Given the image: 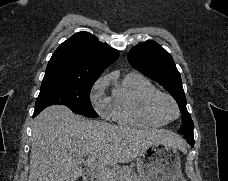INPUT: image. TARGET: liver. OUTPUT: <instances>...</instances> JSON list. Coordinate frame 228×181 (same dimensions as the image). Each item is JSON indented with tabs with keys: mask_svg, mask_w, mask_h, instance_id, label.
Here are the masks:
<instances>
[{
	"mask_svg": "<svg viewBox=\"0 0 228 181\" xmlns=\"http://www.w3.org/2000/svg\"><path fill=\"white\" fill-rule=\"evenodd\" d=\"M151 143L186 149L175 133L85 121L64 105H52L33 121L28 181H78L84 175L78 165L89 157L100 165L130 163Z\"/></svg>",
	"mask_w": 228,
	"mask_h": 181,
	"instance_id": "liver-1",
	"label": "liver"
}]
</instances>
